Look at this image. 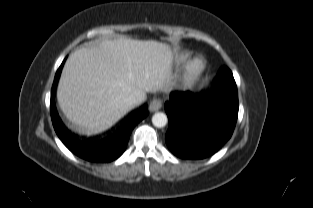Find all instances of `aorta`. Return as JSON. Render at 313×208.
Here are the masks:
<instances>
[{"label": "aorta", "mask_w": 313, "mask_h": 208, "mask_svg": "<svg viewBox=\"0 0 313 208\" xmlns=\"http://www.w3.org/2000/svg\"><path fill=\"white\" fill-rule=\"evenodd\" d=\"M168 122L166 114L162 112H157L152 116V123L155 127H164Z\"/></svg>", "instance_id": "obj_1"}]
</instances>
